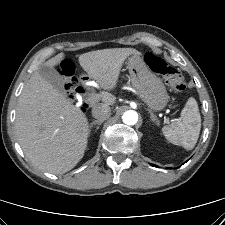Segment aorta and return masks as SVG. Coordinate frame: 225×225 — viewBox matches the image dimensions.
Here are the masks:
<instances>
[{"mask_svg":"<svg viewBox=\"0 0 225 225\" xmlns=\"http://www.w3.org/2000/svg\"><path fill=\"white\" fill-rule=\"evenodd\" d=\"M122 121L127 125H135L138 121V114L134 110H128L123 113Z\"/></svg>","mask_w":225,"mask_h":225,"instance_id":"1","label":"aorta"}]
</instances>
